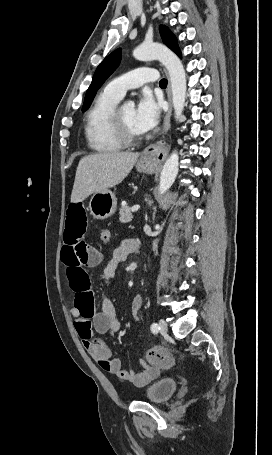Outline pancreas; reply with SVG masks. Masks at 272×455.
Returning a JSON list of instances; mask_svg holds the SVG:
<instances>
[{"label":"pancreas","mask_w":272,"mask_h":455,"mask_svg":"<svg viewBox=\"0 0 272 455\" xmlns=\"http://www.w3.org/2000/svg\"><path fill=\"white\" fill-rule=\"evenodd\" d=\"M119 214V221L121 223H128L133 219L131 208L129 206H121Z\"/></svg>","instance_id":"obj_1"}]
</instances>
